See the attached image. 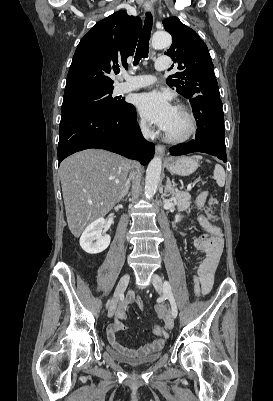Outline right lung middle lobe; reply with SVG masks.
I'll use <instances>...</instances> for the list:
<instances>
[{"label": "right lung middle lobe", "instance_id": "obj_1", "mask_svg": "<svg viewBox=\"0 0 273 401\" xmlns=\"http://www.w3.org/2000/svg\"><path fill=\"white\" fill-rule=\"evenodd\" d=\"M113 89L83 92L64 96L61 114L77 109L117 110L124 101L113 99Z\"/></svg>", "mask_w": 273, "mask_h": 401}]
</instances>
